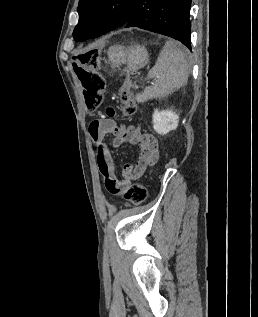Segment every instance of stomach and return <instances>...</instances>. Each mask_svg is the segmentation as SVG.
I'll return each instance as SVG.
<instances>
[{
    "mask_svg": "<svg viewBox=\"0 0 258 317\" xmlns=\"http://www.w3.org/2000/svg\"><path fill=\"white\" fill-rule=\"evenodd\" d=\"M107 56L108 62H113V64L127 62L132 70L142 68L149 60L148 50L142 44H131V46L113 44V46H109Z\"/></svg>",
    "mask_w": 258,
    "mask_h": 317,
    "instance_id": "stomach-1",
    "label": "stomach"
}]
</instances>
